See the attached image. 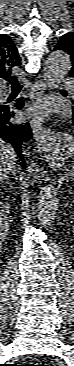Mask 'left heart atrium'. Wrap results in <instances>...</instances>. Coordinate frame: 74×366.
Returning a JSON list of instances; mask_svg holds the SVG:
<instances>
[{"label": "left heart atrium", "mask_w": 74, "mask_h": 366, "mask_svg": "<svg viewBox=\"0 0 74 366\" xmlns=\"http://www.w3.org/2000/svg\"><path fill=\"white\" fill-rule=\"evenodd\" d=\"M44 110H45V106H43V105H39V106H37V108H36V111H37L38 113H42Z\"/></svg>", "instance_id": "obj_1"}]
</instances>
